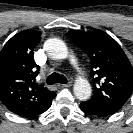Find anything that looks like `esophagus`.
Segmentation results:
<instances>
[{"label":"esophagus","instance_id":"1","mask_svg":"<svg viewBox=\"0 0 133 133\" xmlns=\"http://www.w3.org/2000/svg\"><path fill=\"white\" fill-rule=\"evenodd\" d=\"M72 85V82L69 81L68 83L61 84L62 87H70Z\"/></svg>","mask_w":133,"mask_h":133}]
</instances>
